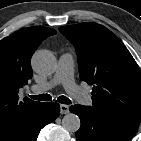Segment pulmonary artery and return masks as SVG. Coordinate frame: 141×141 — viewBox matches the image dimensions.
Returning a JSON list of instances; mask_svg holds the SVG:
<instances>
[{"label": "pulmonary artery", "mask_w": 141, "mask_h": 141, "mask_svg": "<svg viewBox=\"0 0 141 141\" xmlns=\"http://www.w3.org/2000/svg\"><path fill=\"white\" fill-rule=\"evenodd\" d=\"M74 60L70 53H64L58 60V65L53 78L45 83L36 84L32 87L34 93L45 92L58 84H62L69 95L76 99L80 104L90 105V95L82 90L74 81Z\"/></svg>", "instance_id": "e3ab8cb5"}]
</instances>
